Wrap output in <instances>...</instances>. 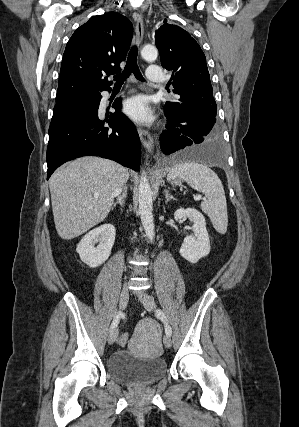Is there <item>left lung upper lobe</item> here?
Masks as SVG:
<instances>
[{"label": "left lung upper lobe", "mask_w": 299, "mask_h": 427, "mask_svg": "<svg viewBox=\"0 0 299 427\" xmlns=\"http://www.w3.org/2000/svg\"><path fill=\"white\" fill-rule=\"evenodd\" d=\"M155 44L164 68L172 71L174 93L184 103L201 102L209 105L216 116L217 106L206 64L199 44L179 26L164 24L155 32ZM176 102H166L172 108Z\"/></svg>", "instance_id": "left-lung-upper-lobe-1"}]
</instances>
